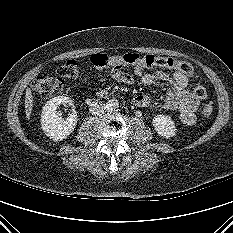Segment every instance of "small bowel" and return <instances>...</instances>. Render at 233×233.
<instances>
[{
  "mask_svg": "<svg viewBox=\"0 0 233 233\" xmlns=\"http://www.w3.org/2000/svg\"><path fill=\"white\" fill-rule=\"evenodd\" d=\"M112 78L123 84H133L137 80L142 86H148L157 81H164L169 85L165 98L162 102H156L145 94L137 95L133 103L139 108L160 107L169 111H176L180 120L188 126L196 122L195 112L198 108L200 99L193 91L188 90V77L177 70L167 73L158 69L151 73L145 72L144 66L134 65L132 71L126 68V65L111 64Z\"/></svg>",
  "mask_w": 233,
  "mask_h": 233,
  "instance_id": "small-bowel-1",
  "label": "small bowel"
}]
</instances>
